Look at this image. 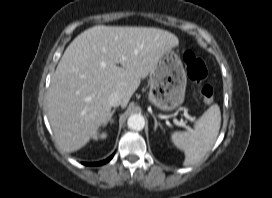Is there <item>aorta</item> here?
Masks as SVG:
<instances>
[{"mask_svg": "<svg viewBox=\"0 0 272 198\" xmlns=\"http://www.w3.org/2000/svg\"><path fill=\"white\" fill-rule=\"evenodd\" d=\"M128 127L135 131H140L145 126L144 117L140 114H132L127 121Z\"/></svg>", "mask_w": 272, "mask_h": 198, "instance_id": "aorta-1", "label": "aorta"}]
</instances>
